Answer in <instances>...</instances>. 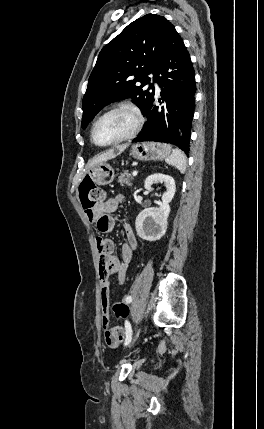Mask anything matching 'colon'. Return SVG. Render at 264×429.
Instances as JSON below:
<instances>
[{
  "mask_svg": "<svg viewBox=\"0 0 264 429\" xmlns=\"http://www.w3.org/2000/svg\"><path fill=\"white\" fill-rule=\"evenodd\" d=\"M79 198L83 209L87 213H93L96 206L105 200V192L102 188L94 184L90 178L84 179L79 186ZM113 313L118 318H125L129 314L128 306L122 301H115L112 305ZM121 340L123 334L118 333Z\"/></svg>",
  "mask_w": 264,
  "mask_h": 429,
  "instance_id": "5ec220e1",
  "label": "colon"
}]
</instances>
